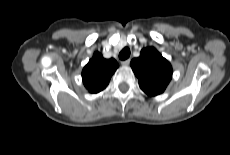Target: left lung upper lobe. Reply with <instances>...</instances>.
Wrapping results in <instances>:
<instances>
[{
  "instance_id": "obj_1",
  "label": "left lung upper lobe",
  "mask_w": 230,
  "mask_h": 155,
  "mask_svg": "<svg viewBox=\"0 0 230 155\" xmlns=\"http://www.w3.org/2000/svg\"><path fill=\"white\" fill-rule=\"evenodd\" d=\"M130 65L140 88L150 97L163 93L172 78L171 64L154 47L142 49Z\"/></svg>"
}]
</instances>
